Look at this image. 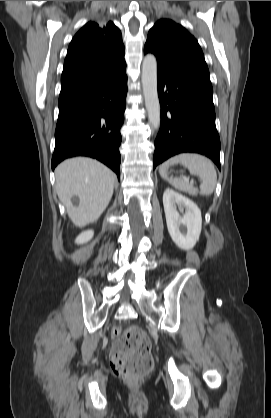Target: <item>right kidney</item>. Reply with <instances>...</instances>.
<instances>
[{
	"label": "right kidney",
	"mask_w": 271,
	"mask_h": 418,
	"mask_svg": "<svg viewBox=\"0 0 271 418\" xmlns=\"http://www.w3.org/2000/svg\"><path fill=\"white\" fill-rule=\"evenodd\" d=\"M93 235H94L93 230L84 231L76 238L75 242L77 244L87 243L88 241H90L92 239Z\"/></svg>",
	"instance_id": "obj_1"
}]
</instances>
